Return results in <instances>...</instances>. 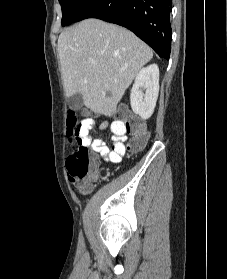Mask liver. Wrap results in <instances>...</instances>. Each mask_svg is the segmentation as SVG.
Listing matches in <instances>:
<instances>
[{
	"label": "liver",
	"mask_w": 227,
	"mask_h": 279,
	"mask_svg": "<svg viewBox=\"0 0 227 279\" xmlns=\"http://www.w3.org/2000/svg\"><path fill=\"white\" fill-rule=\"evenodd\" d=\"M57 50L65 95L80 93L87 108L105 116L116 112L138 71L153 57L131 31L99 19L63 31Z\"/></svg>",
	"instance_id": "liver-1"
}]
</instances>
